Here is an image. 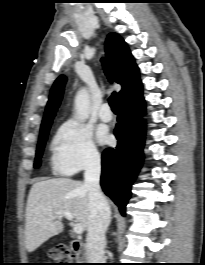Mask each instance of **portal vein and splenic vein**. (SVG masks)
<instances>
[{"instance_id":"1","label":"portal vein and splenic vein","mask_w":205,"mask_h":265,"mask_svg":"<svg viewBox=\"0 0 205 265\" xmlns=\"http://www.w3.org/2000/svg\"><path fill=\"white\" fill-rule=\"evenodd\" d=\"M60 216H64L67 220H69L71 225L73 226V230L76 234H82L84 231V228L81 224L74 221L73 214L68 211L58 212L57 213Z\"/></svg>"}]
</instances>
